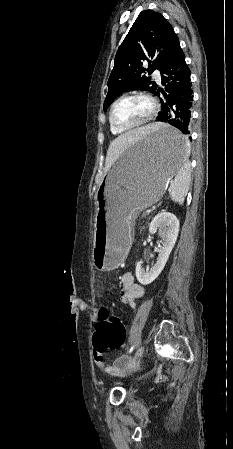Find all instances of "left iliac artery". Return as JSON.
<instances>
[{
  "instance_id": "obj_1",
  "label": "left iliac artery",
  "mask_w": 233,
  "mask_h": 449,
  "mask_svg": "<svg viewBox=\"0 0 233 449\" xmlns=\"http://www.w3.org/2000/svg\"><path fill=\"white\" fill-rule=\"evenodd\" d=\"M135 346L133 345L130 350H129V354L132 353V351L134 350Z\"/></svg>"
}]
</instances>
